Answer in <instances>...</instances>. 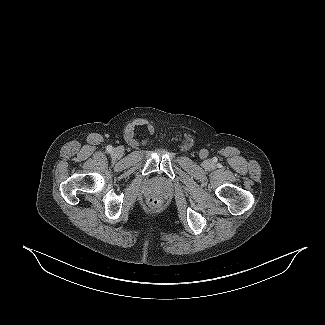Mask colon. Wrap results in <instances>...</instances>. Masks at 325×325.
<instances>
[{
    "mask_svg": "<svg viewBox=\"0 0 325 325\" xmlns=\"http://www.w3.org/2000/svg\"><path fill=\"white\" fill-rule=\"evenodd\" d=\"M148 204L150 207L157 208L160 205V201L157 198H150Z\"/></svg>",
    "mask_w": 325,
    "mask_h": 325,
    "instance_id": "colon-1",
    "label": "colon"
}]
</instances>
